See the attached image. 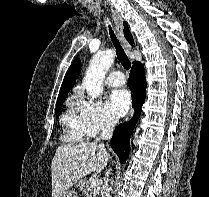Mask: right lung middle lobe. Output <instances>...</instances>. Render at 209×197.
Masks as SVG:
<instances>
[{
  "instance_id": "obj_1",
  "label": "right lung middle lobe",
  "mask_w": 209,
  "mask_h": 197,
  "mask_svg": "<svg viewBox=\"0 0 209 197\" xmlns=\"http://www.w3.org/2000/svg\"><path fill=\"white\" fill-rule=\"evenodd\" d=\"M64 100L65 99H60V100L57 101V104H56V116L57 117H59V114H60V111H61Z\"/></svg>"
}]
</instances>
